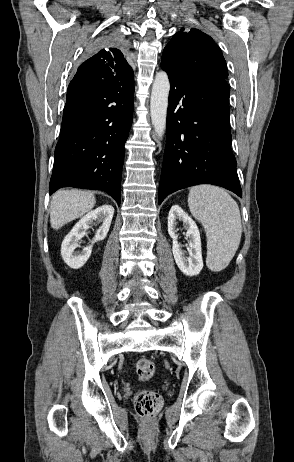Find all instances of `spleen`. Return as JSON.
Instances as JSON below:
<instances>
[{
	"mask_svg": "<svg viewBox=\"0 0 294 462\" xmlns=\"http://www.w3.org/2000/svg\"><path fill=\"white\" fill-rule=\"evenodd\" d=\"M188 206L207 235V259L210 270L227 267L238 249L242 225L236 201L222 188L199 185L190 189Z\"/></svg>",
	"mask_w": 294,
	"mask_h": 462,
	"instance_id": "obj_1",
	"label": "spleen"
}]
</instances>
